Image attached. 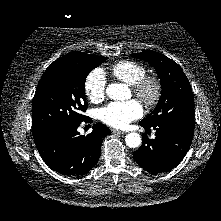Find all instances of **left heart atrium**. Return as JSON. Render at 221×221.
Returning <instances> with one entry per match:
<instances>
[{
    "mask_svg": "<svg viewBox=\"0 0 221 221\" xmlns=\"http://www.w3.org/2000/svg\"><path fill=\"white\" fill-rule=\"evenodd\" d=\"M143 109L135 100L111 102L99 111L101 121L114 128H124L130 122L142 116Z\"/></svg>",
    "mask_w": 221,
    "mask_h": 221,
    "instance_id": "obj_1",
    "label": "left heart atrium"
}]
</instances>
